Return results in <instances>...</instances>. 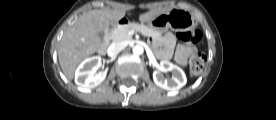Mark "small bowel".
Masks as SVG:
<instances>
[{"label": "small bowel", "mask_w": 276, "mask_h": 120, "mask_svg": "<svg viewBox=\"0 0 276 120\" xmlns=\"http://www.w3.org/2000/svg\"><path fill=\"white\" fill-rule=\"evenodd\" d=\"M175 45V36L173 34H166L161 41V48L157 55L162 59H168L173 54ZM195 49L189 44H179L175 50V60L181 65H185L190 56L193 55Z\"/></svg>", "instance_id": "c3829d8e"}]
</instances>
